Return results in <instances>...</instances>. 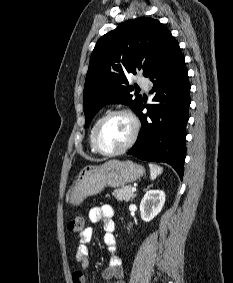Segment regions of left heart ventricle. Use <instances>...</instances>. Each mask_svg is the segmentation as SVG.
<instances>
[{
  "label": "left heart ventricle",
  "instance_id": "1",
  "mask_svg": "<svg viewBox=\"0 0 233 283\" xmlns=\"http://www.w3.org/2000/svg\"><path fill=\"white\" fill-rule=\"evenodd\" d=\"M132 122L125 115H115L108 119L99 134V145L105 151H115L123 147L131 137Z\"/></svg>",
  "mask_w": 233,
  "mask_h": 283
}]
</instances>
